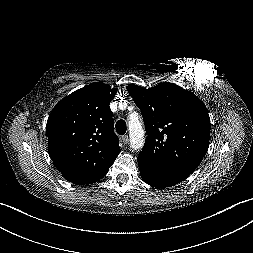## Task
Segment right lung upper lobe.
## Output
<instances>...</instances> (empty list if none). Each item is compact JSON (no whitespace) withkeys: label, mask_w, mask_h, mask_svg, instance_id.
I'll use <instances>...</instances> for the list:
<instances>
[{"label":"right lung upper lobe","mask_w":253,"mask_h":253,"mask_svg":"<svg viewBox=\"0 0 253 253\" xmlns=\"http://www.w3.org/2000/svg\"><path fill=\"white\" fill-rule=\"evenodd\" d=\"M115 95L116 89L96 82L62 99L49 115L48 152L68 181L77 185L97 182L120 153L109 107Z\"/></svg>","instance_id":"cb5924a9"}]
</instances>
